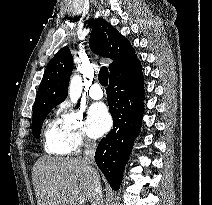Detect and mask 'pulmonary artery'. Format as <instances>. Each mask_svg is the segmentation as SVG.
Returning a JSON list of instances; mask_svg holds the SVG:
<instances>
[{"instance_id":"pulmonary-artery-1","label":"pulmonary artery","mask_w":212,"mask_h":205,"mask_svg":"<svg viewBox=\"0 0 212 205\" xmlns=\"http://www.w3.org/2000/svg\"><path fill=\"white\" fill-rule=\"evenodd\" d=\"M89 95L92 99L98 100L103 98V90L101 89V86L99 83L94 82L90 89H89Z\"/></svg>"}]
</instances>
